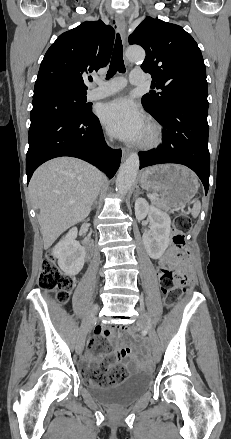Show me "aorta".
Listing matches in <instances>:
<instances>
[{
    "instance_id": "aorta-1",
    "label": "aorta",
    "mask_w": 231,
    "mask_h": 439,
    "mask_svg": "<svg viewBox=\"0 0 231 439\" xmlns=\"http://www.w3.org/2000/svg\"><path fill=\"white\" fill-rule=\"evenodd\" d=\"M126 57L131 62L143 61L145 51L141 47H129ZM140 166L139 156L132 153L120 166L117 179L116 191L120 195H125L133 185Z\"/></svg>"
}]
</instances>
